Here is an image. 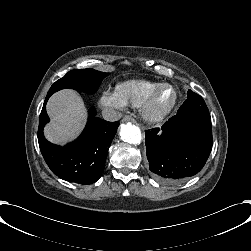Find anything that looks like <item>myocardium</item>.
Instances as JSON below:
<instances>
[{
  "instance_id": "obj_1",
  "label": "myocardium",
  "mask_w": 251,
  "mask_h": 251,
  "mask_svg": "<svg viewBox=\"0 0 251 251\" xmlns=\"http://www.w3.org/2000/svg\"><path fill=\"white\" fill-rule=\"evenodd\" d=\"M166 84H171L175 88L176 100L170 107L163 110H157L154 108L155 97L159 89ZM181 100H182V91L177 86V84L170 79H161L152 87V89L148 93L146 99L144 100V102L140 107V111L143 118L146 119L147 121L158 122L166 118L172 112H174L179 107Z\"/></svg>"
}]
</instances>
